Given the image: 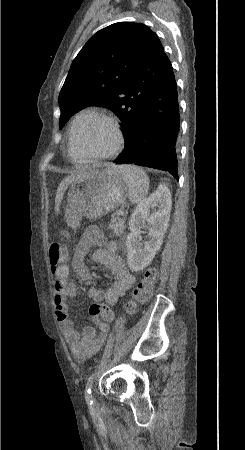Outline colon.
<instances>
[{
	"instance_id": "obj_1",
	"label": "colon",
	"mask_w": 245,
	"mask_h": 450,
	"mask_svg": "<svg viewBox=\"0 0 245 450\" xmlns=\"http://www.w3.org/2000/svg\"><path fill=\"white\" fill-rule=\"evenodd\" d=\"M65 253L60 243H53L49 250L51 267L54 269L63 264ZM157 272L154 268H148L144 272L142 280L134 287L131 299L126 304L127 311L133 312L138 304L147 303L153 295ZM90 315L93 319L111 322L115 318L113 309L105 303H94L90 307Z\"/></svg>"
}]
</instances>
